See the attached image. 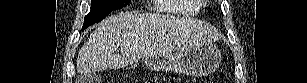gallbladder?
<instances>
[{
  "label": "gallbladder",
  "instance_id": "1",
  "mask_svg": "<svg viewBox=\"0 0 307 83\" xmlns=\"http://www.w3.org/2000/svg\"><path fill=\"white\" fill-rule=\"evenodd\" d=\"M99 78L96 75H87L86 79L84 80L86 83H95L96 81H98Z\"/></svg>",
  "mask_w": 307,
  "mask_h": 83
}]
</instances>
